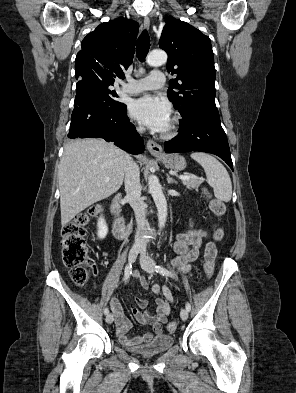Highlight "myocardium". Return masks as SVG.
I'll use <instances>...</instances> for the list:
<instances>
[{
	"mask_svg": "<svg viewBox=\"0 0 296 393\" xmlns=\"http://www.w3.org/2000/svg\"><path fill=\"white\" fill-rule=\"evenodd\" d=\"M178 125H179V118L177 116H174L171 119L168 129L163 133L162 136L164 138H171V137L175 136V134L177 132Z\"/></svg>",
	"mask_w": 296,
	"mask_h": 393,
	"instance_id": "1",
	"label": "myocardium"
}]
</instances>
